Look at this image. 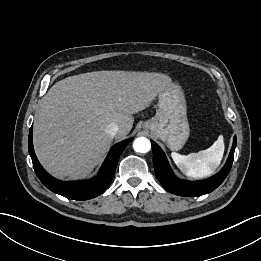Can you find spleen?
<instances>
[{"label":"spleen","mask_w":261,"mask_h":261,"mask_svg":"<svg viewBox=\"0 0 261 261\" xmlns=\"http://www.w3.org/2000/svg\"><path fill=\"white\" fill-rule=\"evenodd\" d=\"M224 153L223 136H219L214 144L206 150L189 155L171 153V157L177 167L186 176L203 178L210 176L220 165Z\"/></svg>","instance_id":"obj_1"}]
</instances>
